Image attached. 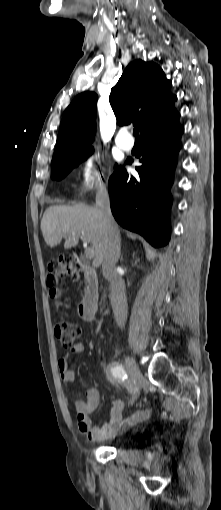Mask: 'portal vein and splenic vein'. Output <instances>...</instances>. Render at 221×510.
Segmentation results:
<instances>
[{"mask_svg":"<svg viewBox=\"0 0 221 510\" xmlns=\"http://www.w3.org/2000/svg\"><path fill=\"white\" fill-rule=\"evenodd\" d=\"M81 239H82V241L84 243V246H87V239H86L84 233H81ZM85 257L87 259H92L94 257V251H93L92 248H89V247L87 248L86 247V249H85Z\"/></svg>","mask_w":221,"mask_h":510,"instance_id":"18ae733b","label":"portal vein and splenic vein"}]
</instances>
